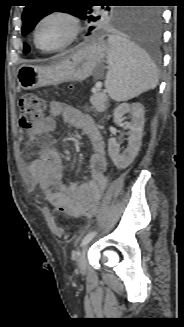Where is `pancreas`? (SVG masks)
Returning <instances> with one entry per match:
<instances>
[{
    "label": "pancreas",
    "instance_id": "pancreas-1",
    "mask_svg": "<svg viewBox=\"0 0 184 327\" xmlns=\"http://www.w3.org/2000/svg\"><path fill=\"white\" fill-rule=\"evenodd\" d=\"M107 99L108 97L105 92H101L100 90L93 92V95L90 98L92 109H95L98 112H103L106 109Z\"/></svg>",
    "mask_w": 184,
    "mask_h": 327
}]
</instances>
